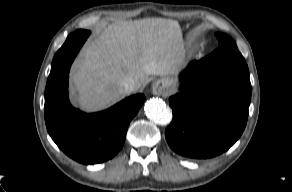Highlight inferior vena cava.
Here are the masks:
<instances>
[{"label":"inferior vena cava","instance_id":"602c4592","mask_svg":"<svg viewBox=\"0 0 292 192\" xmlns=\"http://www.w3.org/2000/svg\"><path fill=\"white\" fill-rule=\"evenodd\" d=\"M121 86L123 88V91L125 93H131L135 90V81L131 77H126L124 80L121 82Z\"/></svg>","mask_w":292,"mask_h":192}]
</instances>
